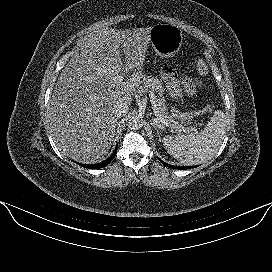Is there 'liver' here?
I'll return each mask as SVG.
<instances>
[{"mask_svg":"<svg viewBox=\"0 0 272 272\" xmlns=\"http://www.w3.org/2000/svg\"><path fill=\"white\" fill-rule=\"evenodd\" d=\"M151 28L95 30L66 64L48 113L53 139L64 155L91 164L108 154L117 121L113 106L119 100L130 104L142 82ZM124 69L134 71L126 81Z\"/></svg>","mask_w":272,"mask_h":272,"instance_id":"liver-1","label":"liver"}]
</instances>
